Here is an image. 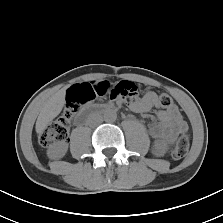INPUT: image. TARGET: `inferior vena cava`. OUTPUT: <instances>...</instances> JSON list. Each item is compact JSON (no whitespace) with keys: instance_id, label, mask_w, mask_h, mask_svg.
<instances>
[{"instance_id":"obj_1","label":"inferior vena cava","mask_w":223,"mask_h":223,"mask_svg":"<svg viewBox=\"0 0 223 223\" xmlns=\"http://www.w3.org/2000/svg\"><path fill=\"white\" fill-rule=\"evenodd\" d=\"M101 122H103V117L95 114L91 117L90 121H89V125L90 126H97L99 125Z\"/></svg>"}]
</instances>
